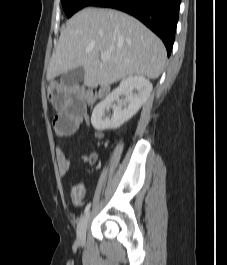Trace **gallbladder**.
I'll return each instance as SVG.
<instances>
[{
  "mask_svg": "<svg viewBox=\"0 0 227 265\" xmlns=\"http://www.w3.org/2000/svg\"><path fill=\"white\" fill-rule=\"evenodd\" d=\"M84 79V70L82 67L72 69L61 76L63 85L71 86L82 82Z\"/></svg>",
  "mask_w": 227,
  "mask_h": 265,
  "instance_id": "gallbladder-1",
  "label": "gallbladder"
}]
</instances>
